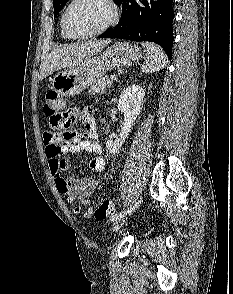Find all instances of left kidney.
Returning a JSON list of instances; mask_svg holds the SVG:
<instances>
[{"instance_id":"1","label":"left kidney","mask_w":233,"mask_h":294,"mask_svg":"<svg viewBox=\"0 0 233 294\" xmlns=\"http://www.w3.org/2000/svg\"><path fill=\"white\" fill-rule=\"evenodd\" d=\"M144 95V88L135 84L129 85L121 93L117 107L124 114V123L118 137L114 141L109 139L106 142V148L110 153H116L128 137L134 121L141 111Z\"/></svg>"}]
</instances>
